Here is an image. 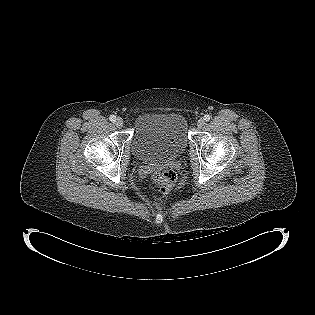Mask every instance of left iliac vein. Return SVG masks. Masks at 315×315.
Listing matches in <instances>:
<instances>
[{"mask_svg":"<svg viewBox=\"0 0 315 315\" xmlns=\"http://www.w3.org/2000/svg\"><path fill=\"white\" fill-rule=\"evenodd\" d=\"M205 125V120L203 118L199 119L197 122L198 128H202Z\"/></svg>","mask_w":315,"mask_h":315,"instance_id":"1","label":"left iliac vein"}]
</instances>
